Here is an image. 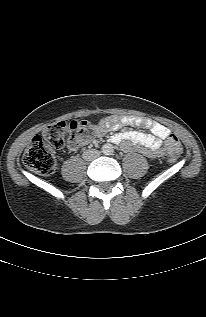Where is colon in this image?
Instances as JSON below:
<instances>
[{"instance_id": "colon-1", "label": "colon", "mask_w": 206, "mask_h": 317, "mask_svg": "<svg viewBox=\"0 0 206 317\" xmlns=\"http://www.w3.org/2000/svg\"><path fill=\"white\" fill-rule=\"evenodd\" d=\"M96 134V128L81 121H61L48 126L41 136H36L23 155L24 165L41 175H51L57 170V160L51 147L60 149L75 143L88 141ZM170 161L174 162L181 152L179 139L170 134L166 140Z\"/></svg>"}]
</instances>
